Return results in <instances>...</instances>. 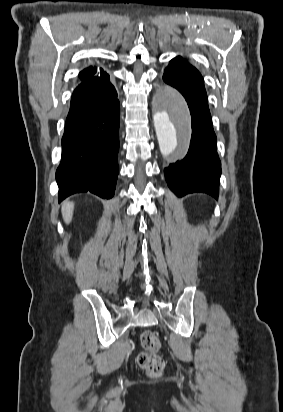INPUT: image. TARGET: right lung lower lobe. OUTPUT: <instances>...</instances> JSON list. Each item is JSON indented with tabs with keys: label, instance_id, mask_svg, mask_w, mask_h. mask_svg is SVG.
Instances as JSON below:
<instances>
[{
	"label": "right lung lower lobe",
	"instance_id": "right-lung-lower-lobe-1",
	"mask_svg": "<svg viewBox=\"0 0 283 412\" xmlns=\"http://www.w3.org/2000/svg\"><path fill=\"white\" fill-rule=\"evenodd\" d=\"M117 92L109 78L92 77L74 90L56 171L59 202L82 192L114 195L119 168Z\"/></svg>",
	"mask_w": 283,
	"mask_h": 412
}]
</instances>
